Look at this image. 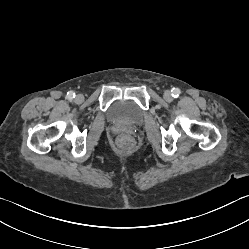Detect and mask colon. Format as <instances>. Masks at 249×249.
I'll return each instance as SVG.
<instances>
[{"instance_id": "colon-1", "label": "colon", "mask_w": 249, "mask_h": 249, "mask_svg": "<svg viewBox=\"0 0 249 249\" xmlns=\"http://www.w3.org/2000/svg\"><path fill=\"white\" fill-rule=\"evenodd\" d=\"M119 144L123 149L129 150L132 147V139L127 135H123L119 139Z\"/></svg>"}]
</instances>
